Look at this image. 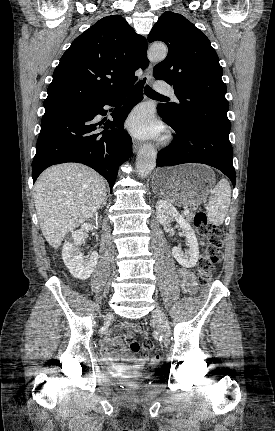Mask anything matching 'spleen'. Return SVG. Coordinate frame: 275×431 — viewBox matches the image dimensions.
Wrapping results in <instances>:
<instances>
[{
    "label": "spleen",
    "instance_id": "1",
    "mask_svg": "<svg viewBox=\"0 0 275 431\" xmlns=\"http://www.w3.org/2000/svg\"><path fill=\"white\" fill-rule=\"evenodd\" d=\"M231 201V188L226 179H221L211 190L209 202L207 204V216L210 223L221 225L227 215Z\"/></svg>",
    "mask_w": 275,
    "mask_h": 431
}]
</instances>
